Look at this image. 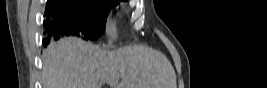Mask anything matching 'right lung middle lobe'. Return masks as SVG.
<instances>
[{"instance_id": "obj_1", "label": "right lung middle lobe", "mask_w": 267, "mask_h": 88, "mask_svg": "<svg viewBox=\"0 0 267 88\" xmlns=\"http://www.w3.org/2000/svg\"><path fill=\"white\" fill-rule=\"evenodd\" d=\"M120 0H48L45 13L53 20L70 22L84 37L96 39L105 31L109 11Z\"/></svg>"}]
</instances>
